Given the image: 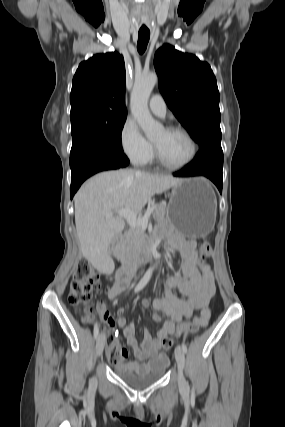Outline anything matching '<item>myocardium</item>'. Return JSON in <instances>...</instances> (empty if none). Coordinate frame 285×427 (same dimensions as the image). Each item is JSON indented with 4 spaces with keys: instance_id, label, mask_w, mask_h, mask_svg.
Masks as SVG:
<instances>
[{
    "instance_id": "1",
    "label": "myocardium",
    "mask_w": 285,
    "mask_h": 427,
    "mask_svg": "<svg viewBox=\"0 0 285 427\" xmlns=\"http://www.w3.org/2000/svg\"><path fill=\"white\" fill-rule=\"evenodd\" d=\"M165 130L168 132H177V133L183 134L190 143L191 151H190L188 158L185 161H183L182 163L170 164L162 158L158 147L155 145V143H153L154 155H155L156 161L158 162V164L160 166H162L163 168L168 169V170H180V169L187 167L188 165H190L194 161V159L197 155V143H196L195 139L193 138V136L191 135V133L187 129H185L184 127H181V126H168L165 128Z\"/></svg>"
}]
</instances>
